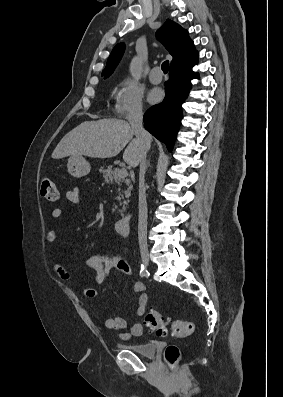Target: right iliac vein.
I'll return each instance as SVG.
<instances>
[{
    "label": "right iliac vein",
    "mask_w": 283,
    "mask_h": 397,
    "mask_svg": "<svg viewBox=\"0 0 283 397\" xmlns=\"http://www.w3.org/2000/svg\"><path fill=\"white\" fill-rule=\"evenodd\" d=\"M142 262L145 266H148L149 264V256L147 253L142 254Z\"/></svg>",
    "instance_id": "63e3f726"
}]
</instances>
